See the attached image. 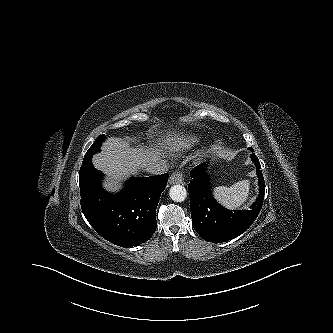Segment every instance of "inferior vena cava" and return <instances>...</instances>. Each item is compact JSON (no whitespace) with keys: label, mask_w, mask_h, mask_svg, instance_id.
Listing matches in <instances>:
<instances>
[{"label":"inferior vena cava","mask_w":333,"mask_h":333,"mask_svg":"<svg viewBox=\"0 0 333 333\" xmlns=\"http://www.w3.org/2000/svg\"><path fill=\"white\" fill-rule=\"evenodd\" d=\"M145 171L152 175H159L168 171V165L165 161H151L145 164Z\"/></svg>","instance_id":"602c4592"}]
</instances>
